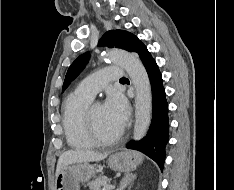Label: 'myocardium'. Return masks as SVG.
<instances>
[{"label": "myocardium", "mask_w": 234, "mask_h": 190, "mask_svg": "<svg viewBox=\"0 0 234 190\" xmlns=\"http://www.w3.org/2000/svg\"><path fill=\"white\" fill-rule=\"evenodd\" d=\"M98 104H100V103L96 102L94 104H91L85 110L84 116H85L87 130H88L90 137L93 139V141L96 144L110 145V144L115 143L116 141H118L122 137L124 130L121 128L117 133H115L114 135H111V136L101 135L96 127V124H95V121L93 118V108L95 107V105H98Z\"/></svg>", "instance_id": "myocardium-1"}]
</instances>
